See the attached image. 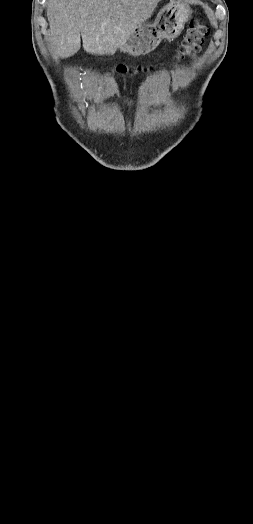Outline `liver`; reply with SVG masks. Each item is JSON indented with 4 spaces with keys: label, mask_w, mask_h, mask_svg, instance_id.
I'll return each mask as SVG.
<instances>
[{
    "label": "liver",
    "mask_w": 253,
    "mask_h": 524,
    "mask_svg": "<svg viewBox=\"0 0 253 524\" xmlns=\"http://www.w3.org/2000/svg\"><path fill=\"white\" fill-rule=\"evenodd\" d=\"M160 0H49L47 17L53 52L68 58L81 47L111 55L143 24Z\"/></svg>",
    "instance_id": "obj_1"
}]
</instances>
